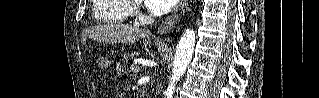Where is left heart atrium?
Returning a JSON list of instances; mask_svg holds the SVG:
<instances>
[{
	"label": "left heart atrium",
	"mask_w": 319,
	"mask_h": 98,
	"mask_svg": "<svg viewBox=\"0 0 319 98\" xmlns=\"http://www.w3.org/2000/svg\"><path fill=\"white\" fill-rule=\"evenodd\" d=\"M175 2L176 0H146L145 4L153 14L162 15L169 12Z\"/></svg>",
	"instance_id": "left-heart-atrium-1"
}]
</instances>
